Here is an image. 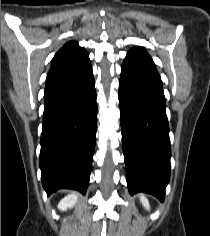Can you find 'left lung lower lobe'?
Returning <instances> with one entry per match:
<instances>
[{"label":"left lung lower lobe","mask_w":210,"mask_h":236,"mask_svg":"<svg viewBox=\"0 0 210 236\" xmlns=\"http://www.w3.org/2000/svg\"><path fill=\"white\" fill-rule=\"evenodd\" d=\"M118 98L129 192L150 193L163 201L171 149L165 97L156 67L124 60Z\"/></svg>","instance_id":"obj_1"}]
</instances>
